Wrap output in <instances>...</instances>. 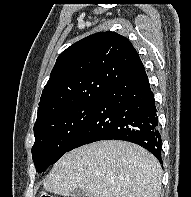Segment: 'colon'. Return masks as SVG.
<instances>
[{
    "label": "colon",
    "instance_id": "colon-1",
    "mask_svg": "<svg viewBox=\"0 0 191 197\" xmlns=\"http://www.w3.org/2000/svg\"><path fill=\"white\" fill-rule=\"evenodd\" d=\"M39 197H52V196L48 193L43 192L39 195Z\"/></svg>",
    "mask_w": 191,
    "mask_h": 197
}]
</instances>
